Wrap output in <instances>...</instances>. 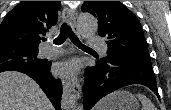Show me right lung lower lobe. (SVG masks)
Segmentation results:
<instances>
[{
	"instance_id": "right-lung-lower-lobe-1",
	"label": "right lung lower lobe",
	"mask_w": 171,
	"mask_h": 110,
	"mask_svg": "<svg viewBox=\"0 0 171 110\" xmlns=\"http://www.w3.org/2000/svg\"><path fill=\"white\" fill-rule=\"evenodd\" d=\"M50 67L51 63H47L44 67L41 68L25 67L14 70L25 73L33 78L50 99L55 109L61 110L60 101L62 94V83L59 79H55L51 76Z\"/></svg>"
}]
</instances>
